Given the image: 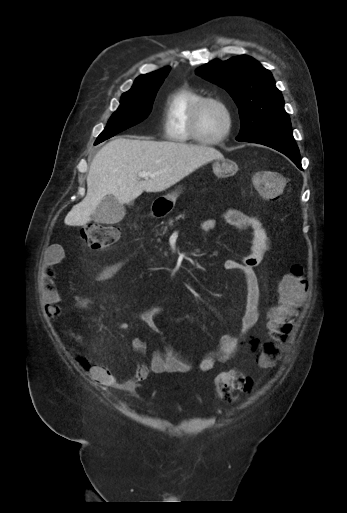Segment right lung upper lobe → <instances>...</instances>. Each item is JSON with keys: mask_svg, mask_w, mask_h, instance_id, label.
I'll list each match as a JSON object with an SVG mask.
<instances>
[{"mask_svg": "<svg viewBox=\"0 0 347 513\" xmlns=\"http://www.w3.org/2000/svg\"><path fill=\"white\" fill-rule=\"evenodd\" d=\"M169 71H170V68L165 67L158 71H154V72H151V73H148L145 75H141L138 78H136L134 85L132 86V88L129 91L134 90V89L138 88L139 86L147 84V83L164 80V78L167 76Z\"/></svg>", "mask_w": 347, "mask_h": 513, "instance_id": "1", "label": "right lung upper lobe"}]
</instances>
